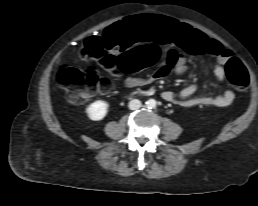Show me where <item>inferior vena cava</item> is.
<instances>
[{"label":"inferior vena cava","mask_w":258,"mask_h":206,"mask_svg":"<svg viewBox=\"0 0 258 206\" xmlns=\"http://www.w3.org/2000/svg\"><path fill=\"white\" fill-rule=\"evenodd\" d=\"M141 101L140 100H138V99H133V100H131L130 102H129V108L131 109V110H137V109H139L140 107H141Z\"/></svg>","instance_id":"1"}]
</instances>
